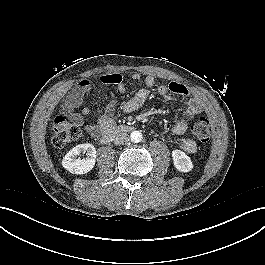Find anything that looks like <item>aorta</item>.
<instances>
[{
  "label": "aorta",
  "mask_w": 265,
  "mask_h": 265,
  "mask_svg": "<svg viewBox=\"0 0 265 265\" xmlns=\"http://www.w3.org/2000/svg\"><path fill=\"white\" fill-rule=\"evenodd\" d=\"M130 139L132 142L134 143H138L141 141L142 139V134L141 132L139 131H133L131 134H130Z\"/></svg>",
  "instance_id": "1"
}]
</instances>
